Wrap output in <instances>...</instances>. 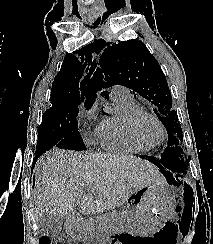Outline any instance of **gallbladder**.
<instances>
[{"label": "gallbladder", "mask_w": 213, "mask_h": 244, "mask_svg": "<svg viewBox=\"0 0 213 244\" xmlns=\"http://www.w3.org/2000/svg\"><path fill=\"white\" fill-rule=\"evenodd\" d=\"M62 225L63 218L50 214H44L38 220L39 232L50 237L57 236L62 229Z\"/></svg>", "instance_id": "1"}]
</instances>
